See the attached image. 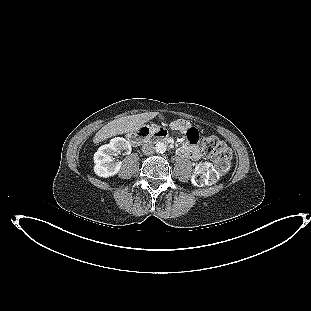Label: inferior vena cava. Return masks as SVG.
Wrapping results in <instances>:
<instances>
[{
  "label": "inferior vena cava",
  "mask_w": 311,
  "mask_h": 311,
  "mask_svg": "<svg viewBox=\"0 0 311 311\" xmlns=\"http://www.w3.org/2000/svg\"><path fill=\"white\" fill-rule=\"evenodd\" d=\"M142 152H143L145 155H152V154H154V152H155V147L153 146L152 143H145V144H143V146H142Z\"/></svg>",
  "instance_id": "inferior-vena-cava-1"
}]
</instances>
